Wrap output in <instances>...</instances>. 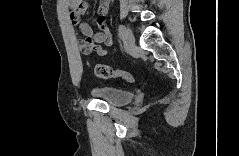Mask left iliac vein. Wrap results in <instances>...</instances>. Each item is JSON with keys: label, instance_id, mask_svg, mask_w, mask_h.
<instances>
[{"label": "left iliac vein", "instance_id": "1", "mask_svg": "<svg viewBox=\"0 0 239 156\" xmlns=\"http://www.w3.org/2000/svg\"><path fill=\"white\" fill-rule=\"evenodd\" d=\"M125 43L128 48H132L135 44V37L132 31L127 28L124 33Z\"/></svg>", "mask_w": 239, "mask_h": 156}]
</instances>
